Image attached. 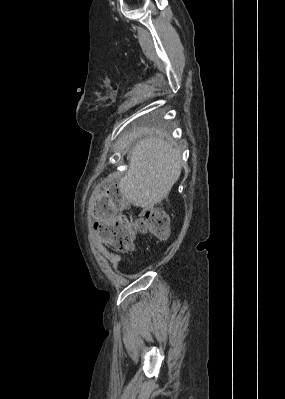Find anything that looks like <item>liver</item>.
Returning <instances> with one entry per match:
<instances>
[{"label":"liver","mask_w":285,"mask_h":399,"mask_svg":"<svg viewBox=\"0 0 285 399\" xmlns=\"http://www.w3.org/2000/svg\"><path fill=\"white\" fill-rule=\"evenodd\" d=\"M127 160L129 167L118 187L127 201L143 209L165 199L181 174L180 151L158 132L150 131L137 141Z\"/></svg>","instance_id":"1"}]
</instances>
